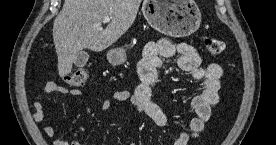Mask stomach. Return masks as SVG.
Here are the masks:
<instances>
[{"mask_svg": "<svg viewBox=\"0 0 276 145\" xmlns=\"http://www.w3.org/2000/svg\"><path fill=\"white\" fill-rule=\"evenodd\" d=\"M142 12L152 28L171 37L191 35L201 23V12L194 0H145ZM107 58L111 64L120 65L126 60V51L111 49Z\"/></svg>", "mask_w": 276, "mask_h": 145, "instance_id": "0dacf381", "label": "stomach"}]
</instances>
